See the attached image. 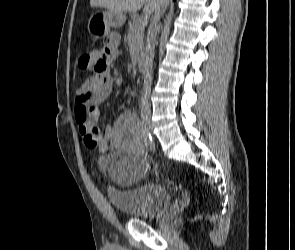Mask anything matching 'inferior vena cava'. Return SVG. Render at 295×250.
I'll return each instance as SVG.
<instances>
[{
    "mask_svg": "<svg viewBox=\"0 0 295 250\" xmlns=\"http://www.w3.org/2000/svg\"><path fill=\"white\" fill-rule=\"evenodd\" d=\"M164 0H158V6L155 10V14L151 20L148 34H147V44H146V60H145V77H144V87L141 97V116H150L151 114V103H150V93L152 84V64L154 59V51L156 45L157 31L159 29V20L161 15L164 13Z\"/></svg>",
    "mask_w": 295,
    "mask_h": 250,
    "instance_id": "inferior-vena-cava-1",
    "label": "inferior vena cava"
}]
</instances>
